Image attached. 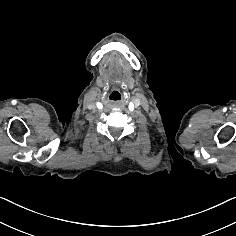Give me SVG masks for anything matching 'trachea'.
I'll return each instance as SVG.
<instances>
[{"label":"trachea","mask_w":236,"mask_h":236,"mask_svg":"<svg viewBox=\"0 0 236 236\" xmlns=\"http://www.w3.org/2000/svg\"><path fill=\"white\" fill-rule=\"evenodd\" d=\"M109 98H110V100H112L114 102H119L123 98V93L120 90L112 89L109 92Z\"/></svg>","instance_id":"obj_1"}]
</instances>
